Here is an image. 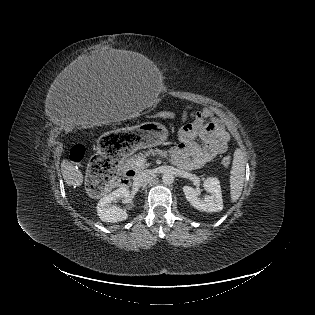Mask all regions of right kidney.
Segmentation results:
<instances>
[{
    "label": "right kidney",
    "instance_id": "obj_1",
    "mask_svg": "<svg viewBox=\"0 0 315 315\" xmlns=\"http://www.w3.org/2000/svg\"><path fill=\"white\" fill-rule=\"evenodd\" d=\"M130 192L127 188H118L100 199L97 204V213L101 221L106 223H117L128 218L126 210L119 207H112V202L121 198H128Z\"/></svg>",
    "mask_w": 315,
    "mask_h": 315
}]
</instances>
